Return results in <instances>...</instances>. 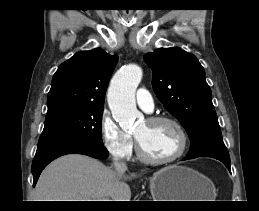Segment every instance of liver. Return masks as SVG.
Listing matches in <instances>:
<instances>
[{
    "label": "liver",
    "instance_id": "obj_1",
    "mask_svg": "<svg viewBox=\"0 0 259 211\" xmlns=\"http://www.w3.org/2000/svg\"><path fill=\"white\" fill-rule=\"evenodd\" d=\"M131 177L119 174L94 158L69 154L50 163L35 188L36 201H130L125 182Z\"/></svg>",
    "mask_w": 259,
    "mask_h": 211
}]
</instances>
